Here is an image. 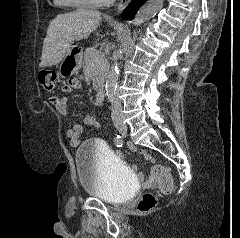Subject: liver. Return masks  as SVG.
I'll return each instance as SVG.
<instances>
[{"label":"liver","instance_id":"6515ba94","mask_svg":"<svg viewBox=\"0 0 240 238\" xmlns=\"http://www.w3.org/2000/svg\"><path fill=\"white\" fill-rule=\"evenodd\" d=\"M101 20L99 11L89 9H78L58 15L47 29L40 67L58 65L74 41L88 38L100 25Z\"/></svg>","mask_w":240,"mask_h":238}]
</instances>
